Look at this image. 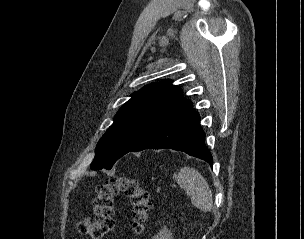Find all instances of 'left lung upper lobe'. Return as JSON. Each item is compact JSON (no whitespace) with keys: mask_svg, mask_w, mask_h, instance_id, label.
Segmentation results:
<instances>
[{"mask_svg":"<svg viewBox=\"0 0 304 239\" xmlns=\"http://www.w3.org/2000/svg\"><path fill=\"white\" fill-rule=\"evenodd\" d=\"M191 106V101L182 97V90L173 86L171 80L146 85L117 112L96 146L91 168L111 169L145 137Z\"/></svg>","mask_w":304,"mask_h":239,"instance_id":"1","label":"left lung upper lobe"}]
</instances>
